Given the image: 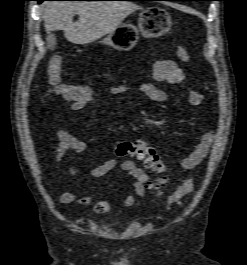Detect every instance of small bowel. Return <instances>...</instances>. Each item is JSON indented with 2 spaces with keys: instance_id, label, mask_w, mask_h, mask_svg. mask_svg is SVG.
Masks as SVG:
<instances>
[{
  "instance_id": "obj_1",
  "label": "small bowel",
  "mask_w": 247,
  "mask_h": 265,
  "mask_svg": "<svg viewBox=\"0 0 247 265\" xmlns=\"http://www.w3.org/2000/svg\"><path fill=\"white\" fill-rule=\"evenodd\" d=\"M152 76L158 82H167L169 84H181L186 81V75L183 70L178 66L177 62L170 59H158L152 66ZM127 84L112 85L107 89V94L110 97L119 96L128 91ZM139 91L148 99L158 103H167L169 99L168 93L158 88L153 83L143 82L138 86ZM186 99L189 104L193 106H201L204 103L205 97L192 90L187 89L185 93ZM87 104L81 102H74L70 106L72 112L83 110ZM59 143L52 149V153L58 158L64 157L69 151L82 153L86 150V143L71 134L64 126H61L57 132ZM215 134L213 131H208L203 134L199 141L194 144L193 149L182 159L180 165L185 171L193 170L199 165L208 155V152L214 142ZM141 141V140H140ZM144 142V141H143ZM125 171L133 180V191L128 192L124 197V205L130 207L135 202V197H143L146 193L148 184L151 182L152 177L140 168L133 160H124L120 164L117 159L109 158L95 166L90 175L94 178H100L117 166ZM71 174L75 175L77 170L72 166H68ZM59 200L63 204H78L89 205L93 203L92 210L97 214H104L110 210V203L106 200H96L94 195H86L77 198V194L73 191H67L60 195Z\"/></svg>"
}]
</instances>
